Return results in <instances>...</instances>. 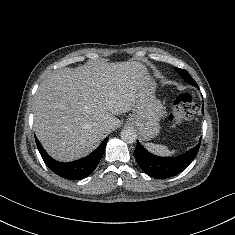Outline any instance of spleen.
Here are the masks:
<instances>
[{"instance_id":"spleen-1","label":"spleen","mask_w":235,"mask_h":235,"mask_svg":"<svg viewBox=\"0 0 235 235\" xmlns=\"http://www.w3.org/2000/svg\"><path fill=\"white\" fill-rule=\"evenodd\" d=\"M145 147L152 153L161 155V156H169L175 153V150L170 151L167 146L154 144V143H146Z\"/></svg>"}]
</instances>
